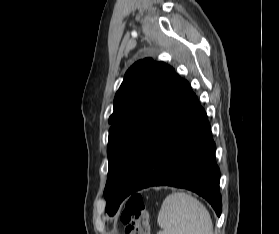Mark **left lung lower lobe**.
Segmentation results:
<instances>
[{"label":"left lung lower lobe","instance_id":"0a47b994","mask_svg":"<svg viewBox=\"0 0 279 234\" xmlns=\"http://www.w3.org/2000/svg\"><path fill=\"white\" fill-rule=\"evenodd\" d=\"M220 171L206 112L189 83L175 73L138 148L120 199L158 185L204 197L220 216Z\"/></svg>","mask_w":279,"mask_h":234}]
</instances>
